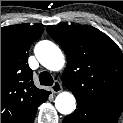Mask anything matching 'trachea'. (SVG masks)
I'll return each mask as SVG.
<instances>
[{"label":"trachea","mask_w":123,"mask_h":123,"mask_svg":"<svg viewBox=\"0 0 123 123\" xmlns=\"http://www.w3.org/2000/svg\"><path fill=\"white\" fill-rule=\"evenodd\" d=\"M41 85L51 86L53 85V78L48 72H41L39 75Z\"/></svg>","instance_id":"1"}]
</instances>
